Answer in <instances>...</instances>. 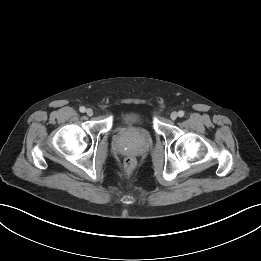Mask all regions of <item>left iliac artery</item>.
Instances as JSON below:
<instances>
[{
  "mask_svg": "<svg viewBox=\"0 0 261 261\" xmlns=\"http://www.w3.org/2000/svg\"><path fill=\"white\" fill-rule=\"evenodd\" d=\"M178 116H179V117H183V116H184V111H182V110L179 111V112H178Z\"/></svg>",
  "mask_w": 261,
  "mask_h": 261,
  "instance_id": "44dca946",
  "label": "left iliac artery"
}]
</instances>
